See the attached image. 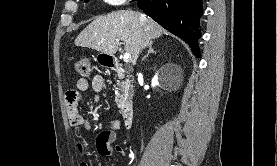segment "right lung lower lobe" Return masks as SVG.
Segmentation results:
<instances>
[{
    "mask_svg": "<svg viewBox=\"0 0 277 166\" xmlns=\"http://www.w3.org/2000/svg\"><path fill=\"white\" fill-rule=\"evenodd\" d=\"M138 7L165 29L185 40L199 58L202 0H137Z\"/></svg>",
    "mask_w": 277,
    "mask_h": 166,
    "instance_id": "98d812e1",
    "label": "right lung lower lobe"
}]
</instances>
